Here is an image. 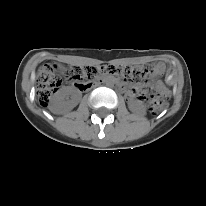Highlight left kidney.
Wrapping results in <instances>:
<instances>
[{
    "label": "left kidney",
    "instance_id": "obj_1",
    "mask_svg": "<svg viewBox=\"0 0 206 206\" xmlns=\"http://www.w3.org/2000/svg\"><path fill=\"white\" fill-rule=\"evenodd\" d=\"M129 109L134 113L144 112V106L140 101H132L129 104Z\"/></svg>",
    "mask_w": 206,
    "mask_h": 206
}]
</instances>
